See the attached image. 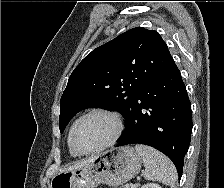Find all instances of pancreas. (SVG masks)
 Segmentation results:
<instances>
[{
	"instance_id": "1",
	"label": "pancreas",
	"mask_w": 224,
	"mask_h": 188,
	"mask_svg": "<svg viewBox=\"0 0 224 188\" xmlns=\"http://www.w3.org/2000/svg\"><path fill=\"white\" fill-rule=\"evenodd\" d=\"M122 188H126V185L125 186H122Z\"/></svg>"
}]
</instances>
